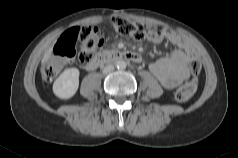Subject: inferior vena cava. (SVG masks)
I'll return each mask as SVG.
<instances>
[{
	"label": "inferior vena cava",
	"instance_id": "1",
	"mask_svg": "<svg viewBox=\"0 0 238 158\" xmlns=\"http://www.w3.org/2000/svg\"><path fill=\"white\" fill-rule=\"evenodd\" d=\"M114 70V66L112 64L106 65L103 69L104 73H109Z\"/></svg>",
	"mask_w": 238,
	"mask_h": 158
}]
</instances>
